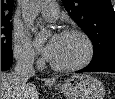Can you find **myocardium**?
<instances>
[{
	"mask_svg": "<svg viewBox=\"0 0 115 99\" xmlns=\"http://www.w3.org/2000/svg\"><path fill=\"white\" fill-rule=\"evenodd\" d=\"M61 35H75L80 37L85 44L86 52L84 57L80 61L74 64L59 65L49 60V64L51 68L56 71H75V70L82 69L86 67L88 64H90L95 53L94 45L90 37L84 31L79 29H67L63 31Z\"/></svg>",
	"mask_w": 115,
	"mask_h": 99,
	"instance_id": "1",
	"label": "myocardium"
}]
</instances>
